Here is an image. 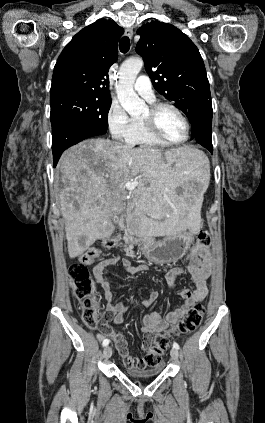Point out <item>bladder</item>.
<instances>
[{
    "mask_svg": "<svg viewBox=\"0 0 265 423\" xmlns=\"http://www.w3.org/2000/svg\"><path fill=\"white\" fill-rule=\"evenodd\" d=\"M124 372L126 375L135 377V378H146V377H153L157 376L162 372L161 367L157 368H149V369H143V368H134V367H125Z\"/></svg>",
    "mask_w": 265,
    "mask_h": 423,
    "instance_id": "31cf9c89",
    "label": "bladder"
}]
</instances>
